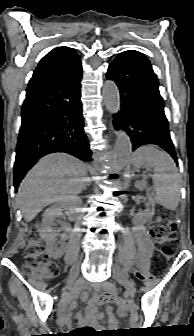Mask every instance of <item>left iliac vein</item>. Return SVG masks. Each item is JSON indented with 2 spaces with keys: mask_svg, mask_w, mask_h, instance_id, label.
<instances>
[{
  "mask_svg": "<svg viewBox=\"0 0 194 336\" xmlns=\"http://www.w3.org/2000/svg\"><path fill=\"white\" fill-rule=\"evenodd\" d=\"M113 278L125 287L128 294L134 295L136 293L134 283L127 278L126 274L117 264L113 265Z\"/></svg>",
  "mask_w": 194,
  "mask_h": 336,
  "instance_id": "obj_1",
  "label": "left iliac vein"
}]
</instances>
